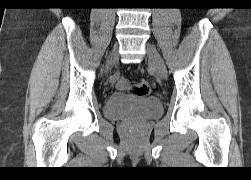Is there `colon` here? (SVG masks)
I'll return each mask as SVG.
<instances>
[{"label":"colon","instance_id":"obj_1","mask_svg":"<svg viewBox=\"0 0 251 180\" xmlns=\"http://www.w3.org/2000/svg\"><path fill=\"white\" fill-rule=\"evenodd\" d=\"M153 85L147 80H140L136 82L132 87V92L136 96L144 97L151 93Z\"/></svg>","mask_w":251,"mask_h":180}]
</instances>
